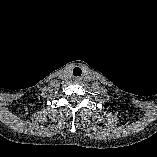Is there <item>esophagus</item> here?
Segmentation results:
<instances>
[{"instance_id": "1", "label": "esophagus", "mask_w": 157, "mask_h": 157, "mask_svg": "<svg viewBox=\"0 0 157 157\" xmlns=\"http://www.w3.org/2000/svg\"><path fill=\"white\" fill-rule=\"evenodd\" d=\"M82 79H81V77H79V76H76V77H74V81L75 82H80Z\"/></svg>"}]
</instances>
